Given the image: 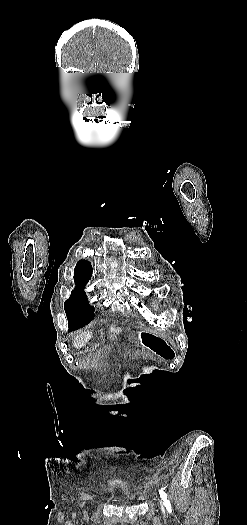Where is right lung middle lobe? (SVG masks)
<instances>
[{
  "mask_svg": "<svg viewBox=\"0 0 247 525\" xmlns=\"http://www.w3.org/2000/svg\"><path fill=\"white\" fill-rule=\"evenodd\" d=\"M91 275L74 274L75 289L70 298L65 302V312L68 318L69 329L75 330L90 322L94 315V307L90 306L83 290Z\"/></svg>",
  "mask_w": 247,
  "mask_h": 525,
  "instance_id": "right-lung-middle-lobe-1",
  "label": "right lung middle lobe"
}]
</instances>
